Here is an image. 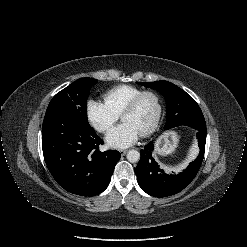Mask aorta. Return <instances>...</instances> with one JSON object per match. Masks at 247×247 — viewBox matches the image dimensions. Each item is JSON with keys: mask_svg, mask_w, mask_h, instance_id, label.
Segmentation results:
<instances>
[{"mask_svg": "<svg viewBox=\"0 0 247 247\" xmlns=\"http://www.w3.org/2000/svg\"><path fill=\"white\" fill-rule=\"evenodd\" d=\"M127 160L131 163H135L140 159V153L137 150H130L127 153Z\"/></svg>", "mask_w": 247, "mask_h": 247, "instance_id": "obj_1", "label": "aorta"}]
</instances>
